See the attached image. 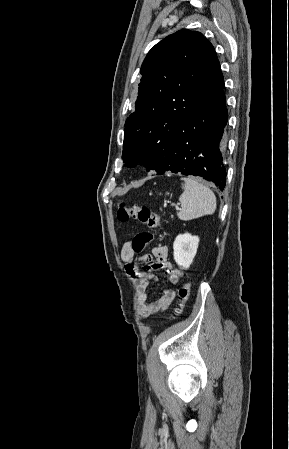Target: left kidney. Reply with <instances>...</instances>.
Wrapping results in <instances>:
<instances>
[{
  "label": "left kidney",
  "instance_id": "left-kidney-1",
  "mask_svg": "<svg viewBox=\"0 0 289 449\" xmlns=\"http://www.w3.org/2000/svg\"><path fill=\"white\" fill-rule=\"evenodd\" d=\"M199 244L198 236L189 233L176 237L173 249L175 262L184 269H188L193 262Z\"/></svg>",
  "mask_w": 289,
  "mask_h": 449
}]
</instances>
